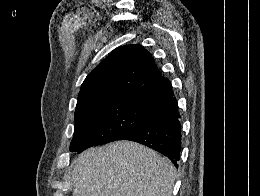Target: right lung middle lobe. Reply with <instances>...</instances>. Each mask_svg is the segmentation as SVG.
<instances>
[{"mask_svg":"<svg viewBox=\"0 0 260 196\" xmlns=\"http://www.w3.org/2000/svg\"><path fill=\"white\" fill-rule=\"evenodd\" d=\"M153 118L141 105L112 101L76 106L70 151L116 141Z\"/></svg>","mask_w":260,"mask_h":196,"instance_id":"right-lung-middle-lobe-1","label":"right lung middle lobe"}]
</instances>
